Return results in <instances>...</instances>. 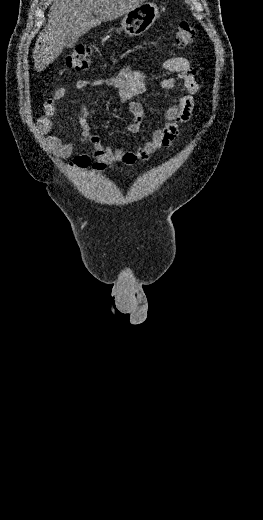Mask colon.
I'll use <instances>...</instances> for the list:
<instances>
[{
  "label": "colon",
  "instance_id": "colon-1",
  "mask_svg": "<svg viewBox=\"0 0 263 520\" xmlns=\"http://www.w3.org/2000/svg\"><path fill=\"white\" fill-rule=\"evenodd\" d=\"M195 37L194 27L188 21H182L176 31L174 45L183 49L189 46ZM92 47L80 45L76 47L66 58V67L74 71H85L91 63Z\"/></svg>",
  "mask_w": 263,
  "mask_h": 520
}]
</instances>
